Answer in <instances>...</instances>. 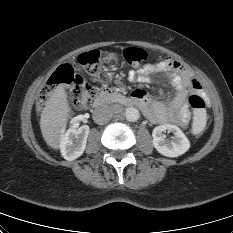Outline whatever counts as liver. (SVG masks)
I'll return each mask as SVG.
<instances>
[{"label": "liver", "mask_w": 233, "mask_h": 233, "mask_svg": "<svg viewBox=\"0 0 233 233\" xmlns=\"http://www.w3.org/2000/svg\"><path fill=\"white\" fill-rule=\"evenodd\" d=\"M71 107L64 85L58 86L47 100L41 114L40 128L47 145L58 149L70 117Z\"/></svg>", "instance_id": "liver-1"}]
</instances>
